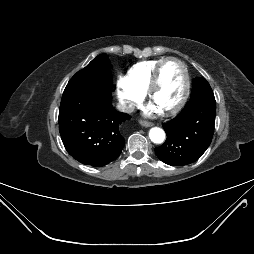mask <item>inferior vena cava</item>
Returning <instances> with one entry per match:
<instances>
[{
  "label": "inferior vena cava",
  "mask_w": 254,
  "mask_h": 254,
  "mask_svg": "<svg viewBox=\"0 0 254 254\" xmlns=\"http://www.w3.org/2000/svg\"><path fill=\"white\" fill-rule=\"evenodd\" d=\"M117 108L119 111L122 112H130L133 110V107L131 105H128L127 103L121 101L117 103Z\"/></svg>",
  "instance_id": "obj_1"
}]
</instances>
